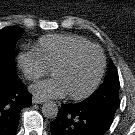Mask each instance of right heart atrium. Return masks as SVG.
<instances>
[{
  "label": "right heart atrium",
  "mask_w": 135,
  "mask_h": 135,
  "mask_svg": "<svg viewBox=\"0 0 135 135\" xmlns=\"http://www.w3.org/2000/svg\"><path fill=\"white\" fill-rule=\"evenodd\" d=\"M18 65L25 77L31 81H35L49 72V67L35 49L21 52L18 55Z\"/></svg>",
  "instance_id": "right-heart-atrium-1"
}]
</instances>
